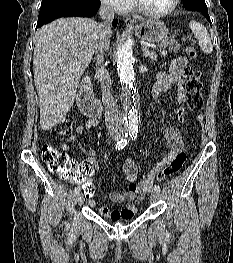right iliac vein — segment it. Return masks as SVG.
Listing matches in <instances>:
<instances>
[{
	"label": "right iliac vein",
	"mask_w": 233,
	"mask_h": 263,
	"mask_svg": "<svg viewBox=\"0 0 233 263\" xmlns=\"http://www.w3.org/2000/svg\"><path fill=\"white\" fill-rule=\"evenodd\" d=\"M116 138V137H115ZM83 201V194L82 193H78L76 195V198H75V202L76 203H81Z\"/></svg>",
	"instance_id": "right-iliac-vein-1"
}]
</instances>
